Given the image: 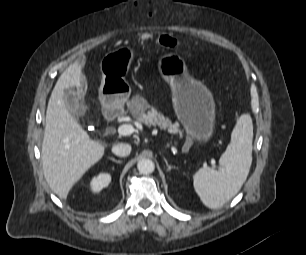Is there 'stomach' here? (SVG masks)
Wrapping results in <instances>:
<instances>
[{
    "label": "stomach",
    "instance_id": "obj_1",
    "mask_svg": "<svg viewBox=\"0 0 306 255\" xmlns=\"http://www.w3.org/2000/svg\"><path fill=\"white\" fill-rule=\"evenodd\" d=\"M133 58V49L121 47L102 59L99 100L104 111L117 109L127 101L131 88L124 75L129 71ZM156 68L173 88L175 112L187 132L186 147L193 140L208 141L214 128V104L206 88L193 79L189 58L174 50H165L158 55Z\"/></svg>",
    "mask_w": 306,
    "mask_h": 255
}]
</instances>
